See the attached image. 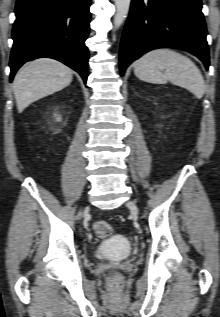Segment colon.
Listing matches in <instances>:
<instances>
[{
	"mask_svg": "<svg viewBox=\"0 0 220 317\" xmlns=\"http://www.w3.org/2000/svg\"><path fill=\"white\" fill-rule=\"evenodd\" d=\"M94 232L99 238H106L112 233V227L107 221H97L94 224ZM123 284V277L116 273L110 276L109 285L112 290H119Z\"/></svg>",
	"mask_w": 220,
	"mask_h": 317,
	"instance_id": "1",
	"label": "colon"
}]
</instances>
